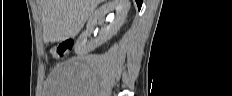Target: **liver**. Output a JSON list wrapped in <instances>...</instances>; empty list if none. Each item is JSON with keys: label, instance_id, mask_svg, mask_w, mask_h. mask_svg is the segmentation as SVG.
<instances>
[{"label": "liver", "instance_id": "obj_1", "mask_svg": "<svg viewBox=\"0 0 232 96\" xmlns=\"http://www.w3.org/2000/svg\"><path fill=\"white\" fill-rule=\"evenodd\" d=\"M103 0H38L45 43L75 37Z\"/></svg>", "mask_w": 232, "mask_h": 96}]
</instances>
